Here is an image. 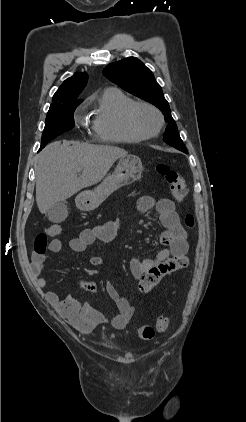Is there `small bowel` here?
I'll use <instances>...</instances> for the list:
<instances>
[{"label": "small bowel", "mask_w": 246, "mask_h": 422, "mask_svg": "<svg viewBox=\"0 0 246 422\" xmlns=\"http://www.w3.org/2000/svg\"><path fill=\"white\" fill-rule=\"evenodd\" d=\"M137 208L141 212L155 208L159 214L160 222L165 228V231L159 238V243L164 246L162 249L152 257L145 259L133 258L130 261L132 275L140 279L149 269L159 263L172 257L186 256L189 244L187 241V232L180 222L175 204L172 200L167 198L156 200L151 196L144 195L138 199ZM119 227L120 224L118 221H111L93 228L84 229L77 237L69 241V246L74 252L80 253L96 241L104 243L111 242L115 238ZM62 248L63 243L59 239H53L48 245V250L51 252H59ZM45 260V254L33 252L31 257L32 270L36 276L38 287L42 289L48 285L47 280L41 276ZM89 263L93 266H101L103 260L100 257L93 256L89 258ZM77 287L82 290L94 292L97 290L98 285L95 282L84 281L79 282ZM105 289L118 309V313L111 319H107L89 303L81 304L71 295L60 299L56 292L48 291L45 293V297L73 327L82 332H91L97 326L105 323H109L113 328L121 330L130 322L135 309L126 298L120 295L112 283L107 282Z\"/></svg>", "instance_id": "obj_1"}]
</instances>
